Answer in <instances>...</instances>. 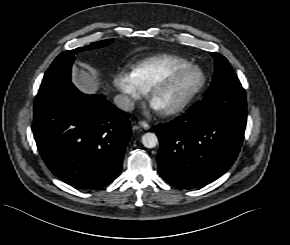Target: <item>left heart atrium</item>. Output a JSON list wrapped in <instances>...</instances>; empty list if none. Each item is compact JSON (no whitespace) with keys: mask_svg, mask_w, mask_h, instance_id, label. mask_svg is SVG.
I'll return each instance as SVG.
<instances>
[{"mask_svg":"<svg viewBox=\"0 0 290 245\" xmlns=\"http://www.w3.org/2000/svg\"><path fill=\"white\" fill-rule=\"evenodd\" d=\"M152 108L154 110H161L153 101H152Z\"/></svg>","mask_w":290,"mask_h":245,"instance_id":"39dd6f15","label":"left heart atrium"}]
</instances>
